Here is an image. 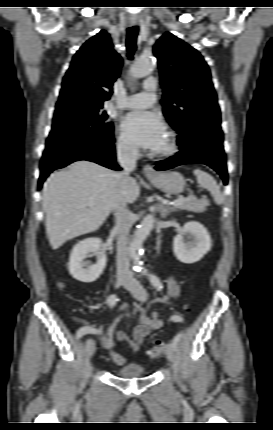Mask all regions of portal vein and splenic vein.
Masks as SVG:
<instances>
[{"instance_id":"18ae733b","label":"portal vein and splenic vein","mask_w":273,"mask_h":430,"mask_svg":"<svg viewBox=\"0 0 273 430\" xmlns=\"http://www.w3.org/2000/svg\"><path fill=\"white\" fill-rule=\"evenodd\" d=\"M183 200H184V198H183V197H181V198H179V199H177V200H174V201H171V202H166L165 204H166V205L176 206V205L181 204V203L183 202ZM94 204H95V203H94L93 201H90V202L88 203V205H89V206H93Z\"/></svg>"}]
</instances>
